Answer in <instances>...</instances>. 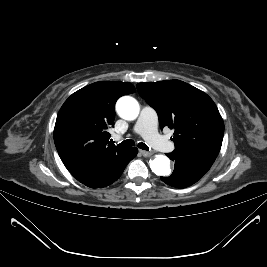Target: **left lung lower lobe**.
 I'll list each match as a JSON object with an SVG mask.
<instances>
[{
	"mask_svg": "<svg viewBox=\"0 0 267 267\" xmlns=\"http://www.w3.org/2000/svg\"><path fill=\"white\" fill-rule=\"evenodd\" d=\"M166 155L175 162V168L169 177H161V180L176 188H185L194 184L212 165L206 160L191 157L176 150Z\"/></svg>",
	"mask_w": 267,
	"mask_h": 267,
	"instance_id": "left-lung-lower-lobe-1",
	"label": "left lung lower lobe"
}]
</instances>
